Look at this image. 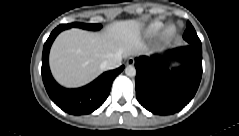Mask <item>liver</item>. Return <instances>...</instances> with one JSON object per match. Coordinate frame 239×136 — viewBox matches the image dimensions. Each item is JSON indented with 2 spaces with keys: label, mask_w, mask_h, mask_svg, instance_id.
Masks as SVG:
<instances>
[{
  "label": "liver",
  "mask_w": 239,
  "mask_h": 136,
  "mask_svg": "<svg viewBox=\"0 0 239 136\" xmlns=\"http://www.w3.org/2000/svg\"><path fill=\"white\" fill-rule=\"evenodd\" d=\"M142 25L137 20L118 21L104 32L78 28L63 31L49 54L54 78L66 87L83 86L105 69L103 63L115 55L128 57L145 51L141 41Z\"/></svg>",
  "instance_id": "obj_1"
}]
</instances>
